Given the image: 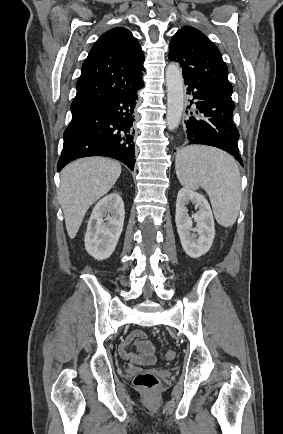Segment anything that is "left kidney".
Returning <instances> with one entry per match:
<instances>
[{
	"instance_id": "1",
	"label": "left kidney",
	"mask_w": 283,
	"mask_h": 434,
	"mask_svg": "<svg viewBox=\"0 0 283 434\" xmlns=\"http://www.w3.org/2000/svg\"><path fill=\"white\" fill-rule=\"evenodd\" d=\"M189 203L195 204L199 209L193 215L197 223L195 228L192 227V219L187 213L186 206ZM175 222L181 245L188 256L198 258L210 250L215 237V225L210 205L202 194L186 188L179 190Z\"/></svg>"
}]
</instances>
